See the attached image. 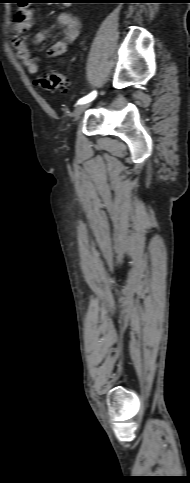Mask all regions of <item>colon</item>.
I'll return each instance as SVG.
<instances>
[{
	"instance_id": "1",
	"label": "colon",
	"mask_w": 190,
	"mask_h": 483,
	"mask_svg": "<svg viewBox=\"0 0 190 483\" xmlns=\"http://www.w3.org/2000/svg\"><path fill=\"white\" fill-rule=\"evenodd\" d=\"M31 3H34L33 0ZM37 83L49 91L65 92L70 84V80L58 70L49 69L37 78Z\"/></svg>"
}]
</instances>
